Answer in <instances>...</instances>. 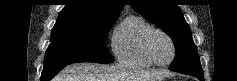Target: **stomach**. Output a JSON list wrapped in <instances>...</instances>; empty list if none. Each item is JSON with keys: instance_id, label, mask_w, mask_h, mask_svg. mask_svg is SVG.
<instances>
[{"instance_id": "stomach-1", "label": "stomach", "mask_w": 237, "mask_h": 81, "mask_svg": "<svg viewBox=\"0 0 237 81\" xmlns=\"http://www.w3.org/2000/svg\"><path fill=\"white\" fill-rule=\"evenodd\" d=\"M152 81H167L165 77H161V78H158V79H154Z\"/></svg>"}]
</instances>
